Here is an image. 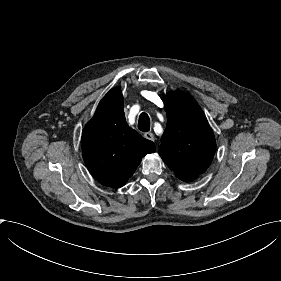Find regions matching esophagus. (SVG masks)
I'll list each match as a JSON object with an SVG mask.
<instances>
[{
    "label": "esophagus",
    "instance_id": "obj_1",
    "mask_svg": "<svg viewBox=\"0 0 281 281\" xmlns=\"http://www.w3.org/2000/svg\"><path fill=\"white\" fill-rule=\"evenodd\" d=\"M144 137H145L146 139L151 140V141H154V140H155V136H154L153 133H144Z\"/></svg>",
    "mask_w": 281,
    "mask_h": 281
}]
</instances>
